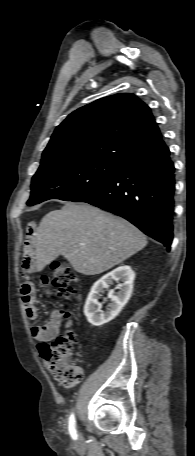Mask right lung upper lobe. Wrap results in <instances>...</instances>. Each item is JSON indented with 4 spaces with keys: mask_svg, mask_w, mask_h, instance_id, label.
<instances>
[{
    "mask_svg": "<svg viewBox=\"0 0 195 456\" xmlns=\"http://www.w3.org/2000/svg\"><path fill=\"white\" fill-rule=\"evenodd\" d=\"M164 146L150 108L133 94H116L71 113L55 129L41 164L70 158L123 164Z\"/></svg>",
    "mask_w": 195,
    "mask_h": 456,
    "instance_id": "right-lung-upper-lobe-1",
    "label": "right lung upper lobe"
}]
</instances>
